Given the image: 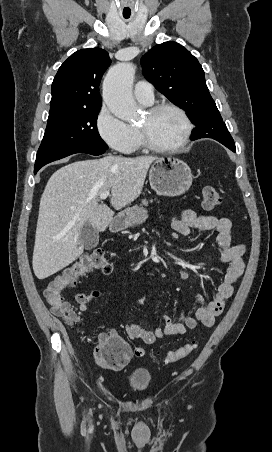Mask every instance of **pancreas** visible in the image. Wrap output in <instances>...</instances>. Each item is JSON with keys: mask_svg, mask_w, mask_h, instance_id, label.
Here are the masks:
<instances>
[{"mask_svg": "<svg viewBox=\"0 0 272 452\" xmlns=\"http://www.w3.org/2000/svg\"><path fill=\"white\" fill-rule=\"evenodd\" d=\"M150 202L152 203L153 200H150ZM148 204H149V202H148L146 199H143V200L141 201V205H142V206H148Z\"/></svg>", "mask_w": 272, "mask_h": 452, "instance_id": "cf45deb5", "label": "pancreas"}]
</instances>
